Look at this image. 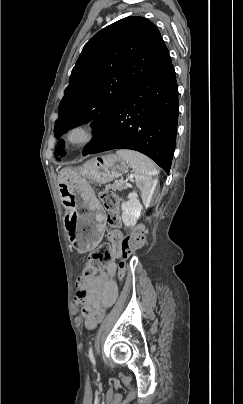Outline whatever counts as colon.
Masks as SVG:
<instances>
[{"instance_id":"obj_1","label":"colon","mask_w":243,"mask_h":404,"mask_svg":"<svg viewBox=\"0 0 243 404\" xmlns=\"http://www.w3.org/2000/svg\"><path fill=\"white\" fill-rule=\"evenodd\" d=\"M100 200L108 212L107 221L110 226L117 227L120 224L119 203L116 195L111 191H103L100 193ZM145 242L144 230L138 226L133 232L127 235L121 242V256L119 278L125 275V261L139 250ZM112 246L108 243L101 244L97 249L89 254L87 263L83 268V277L86 279L93 278L98 271L107 263L112 261ZM104 317V313L97 316L98 322Z\"/></svg>"}]
</instances>
